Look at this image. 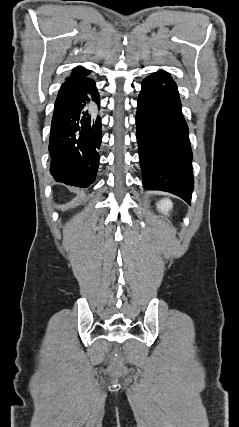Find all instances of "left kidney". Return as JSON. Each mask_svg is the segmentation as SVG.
Wrapping results in <instances>:
<instances>
[{"instance_id":"5707ae66","label":"left kidney","mask_w":239,"mask_h":427,"mask_svg":"<svg viewBox=\"0 0 239 427\" xmlns=\"http://www.w3.org/2000/svg\"><path fill=\"white\" fill-rule=\"evenodd\" d=\"M157 207L164 215H168V212L172 209L173 204L169 199H162L157 203Z\"/></svg>"}]
</instances>
